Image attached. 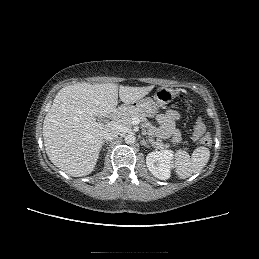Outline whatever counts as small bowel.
Here are the masks:
<instances>
[{
    "mask_svg": "<svg viewBox=\"0 0 259 259\" xmlns=\"http://www.w3.org/2000/svg\"><path fill=\"white\" fill-rule=\"evenodd\" d=\"M180 119V114L174 110H168L158 116V134L162 138H171L173 141L179 140V133L175 129V121Z\"/></svg>",
    "mask_w": 259,
    "mask_h": 259,
    "instance_id": "c3829d8e",
    "label": "small bowel"
}]
</instances>
